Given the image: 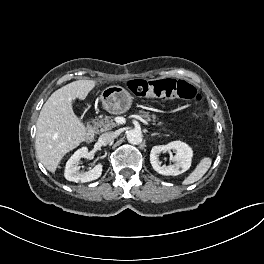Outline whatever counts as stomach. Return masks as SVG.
<instances>
[{
  "mask_svg": "<svg viewBox=\"0 0 264 264\" xmlns=\"http://www.w3.org/2000/svg\"><path fill=\"white\" fill-rule=\"evenodd\" d=\"M103 108L111 114H122L132 105V95L121 86H109L100 95Z\"/></svg>",
  "mask_w": 264,
  "mask_h": 264,
  "instance_id": "0dacf381",
  "label": "stomach"
}]
</instances>
